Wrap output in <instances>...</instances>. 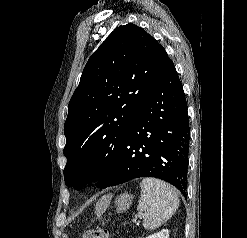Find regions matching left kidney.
I'll use <instances>...</instances> for the list:
<instances>
[{"mask_svg":"<svg viewBox=\"0 0 247 238\" xmlns=\"http://www.w3.org/2000/svg\"><path fill=\"white\" fill-rule=\"evenodd\" d=\"M146 238H169V230L163 229L162 231H160L156 234L150 235Z\"/></svg>","mask_w":247,"mask_h":238,"instance_id":"5707ae66","label":"left kidney"}]
</instances>
